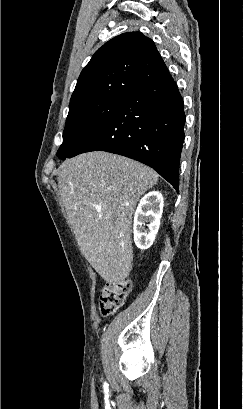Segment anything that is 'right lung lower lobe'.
Here are the masks:
<instances>
[{
    "instance_id": "right-lung-lower-lobe-1",
    "label": "right lung lower lobe",
    "mask_w": 243,
    "mask_h": 409,
    "mask_svg": "<svg viewBox=\"0 0 243 409\" xmlns=\"http://www.w3.org/2000/svg\"><path fill=\"white\" fill-rule=\"evenodd\" d=\"M184 124L183 99L168 74L128 96L67 158L90 151L123 155L152 167L178 191Z\"/></svg>"
}]
</instances>
